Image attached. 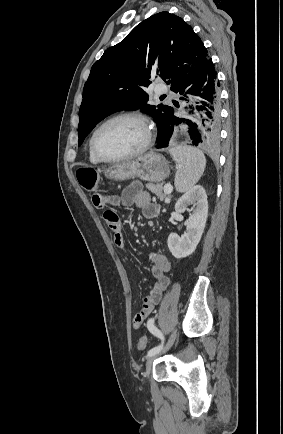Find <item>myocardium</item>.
Instances as JSON below:
<instances>
[{
	"mask_svg": "<svg viewBox=\"0 0 283 434\" xmlns=\"http://www.w3.org/2000/svg\"><path fill=\"white\" fill-rule=\"evenodd\" d=\"M121 119H133V120L140 122L145 129V133H146L145 141H144L143 145L134 152H131V153L126 154V155L118 156V157H106L103 154H101L100 151L96 147V143H95L96 136L99 133V131L103 127H105L107 124L114 122V121H117V120H121ZM152 142H153V127H152V124H151V121L149 120V118L146 115H144L143 113H140L137 111H129V112H122V113L116 114L114 116H111V117L107 118L106 120H104L101 124H99L95 128V130L93 131V133L90 137L89 146H90V149L93 152V154L101 162L115 163V162H121V161L129 160V159L135 158V157L145 153L151 147Z\"/></svg>",
	"mask_w": 283,
	"mask_h": 434,
	"instance_id": "1",
	"label": "myocardium"
}]
</instances>
